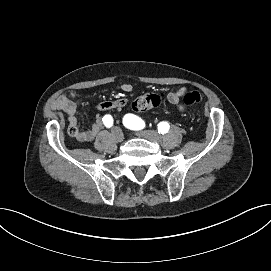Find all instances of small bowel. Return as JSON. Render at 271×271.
I'll use <instances>...</instances> for the list:
<instances>
[{
  "instance_id": "small-bowel-1",
  "label": "small bowel",
  "mask_w": 271,
  "mask_h": 271,
  "mask_svg": "<svg viewBox=\"0 0 271 271\" xmlns=\"http://www.w3.org/2000/svg\"><path fill=\"white\" fill-rule=\"evenodd\" d=\"M121 90L124 92H131L133 87L131 84L125 83L121 85ZM187 93L185 87L177 88L167 94L168 101L175 106V110L183 111L185 105L181 102ZM128 104L126 97H120L111 101H103L97 104L96 109L99 111H109L114 109H120ZM53 108L58 111H62L67 115L69 126L77 129L76 138L80 141H91L99 133L103 125V117L99 116L91 127L87 130H80L78 128V122L76 118L77 104L72 98L66 96H60L53 102Z\"/></svg>"
}]
</instances>
